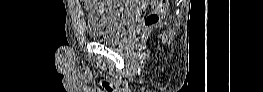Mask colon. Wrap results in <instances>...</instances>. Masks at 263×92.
Wrapping results in <instances>:
<instances>
[{
	"mask_svg": "<svg viewBox=\"0 0 263 92\" xmlns=\"http://www.w3.org/2000/svg\"><path fill=\"white\" fill-rule=\"evenodd\" d=\"M143 2H152L153 5H155L154 10L145 19V27L148 29V28L153 27L160 21L161 17L167 11L169 1L168 0H147Z\"/></svg>",
	"mask_w": 263,
	"mask_h": 92,
	"instance_id": "colon-1",
	"label": "colon"
}]
</instances>
